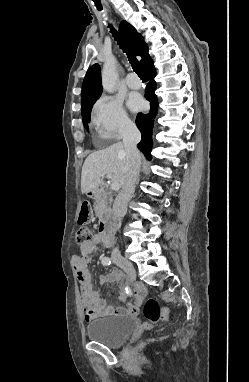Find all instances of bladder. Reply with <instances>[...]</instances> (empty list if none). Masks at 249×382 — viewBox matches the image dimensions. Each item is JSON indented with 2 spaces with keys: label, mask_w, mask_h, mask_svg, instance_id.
I'll return each mask as SVG.
<instances>
[{
  "label": "bladder",
  "mask_w": 249,
  "mask_h": 382,
  "mask_svg": "<svg viewBox=\"0 0 249 382\" xmlns=\"http://www.w3.org/2000/svg\"><path fill=\"white\" fill-rule=\"evenodd\" d=\"M135 324L136 321L131 316L103 317L92 321L85 332L90 341L114 348L127 341Z\"/></svg>",
  "instance_id": "obj_1"
}]
</instances>
